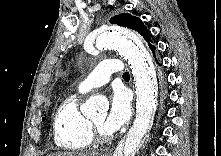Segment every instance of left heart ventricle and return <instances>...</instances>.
Segmentation results:
<instances>
[{
    "label": "left heart ventricle",
    "instance_id": "obj_1",
    "mask_svg": "<svg viewBox=\"0 0 221 156\" xmlns=\"http://www.w3.org/2000/svg\"><path fill=\"white\" fill-rule=\"evenodd\" d=\"M104 133H107L103 128V123L105 120V114H99L91 119Z\"/></svg>",
    "mask_w": 221,
    "mask_h": 156
}]
</instances>
